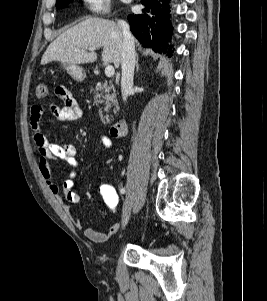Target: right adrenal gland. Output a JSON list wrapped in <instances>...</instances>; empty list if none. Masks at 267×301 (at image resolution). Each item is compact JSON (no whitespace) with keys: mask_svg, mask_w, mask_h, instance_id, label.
Returning a JSON list of instances; mask_svg holds the SVG:
<instances>
[{"mask_svg":"<svg viewBox=\"0 0 267 301\" xmlns=\"http://www.w3.org/2000/svg\"><path fill=\"white\" fill-rule=\"evenodd\" d=\"M139 70V58H138V54H136V72H138Z\"/></svg>","mask_w":267,"mask_h":301,"instance_id":"obj_1","label":"right adrenal gland"}]
</instances>
